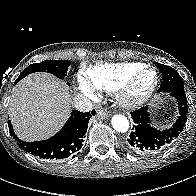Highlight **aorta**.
I'll use <instances>...</instances> for the list:
<instances>
[{"label": "aorta", "instance_id": "obj_1", "mask_svg": "<svg viewBox=\"0 0 196 196\" xmlns=\"http://www.w3.org/2000/svg\"><path fill=\"white\" fill-rule=\"evenodd\" d=\"M111 123L117 132L125 133L129 129V121L123 115H114L111 119Z\"/></svg>", "mask_w": 196, "mask_h": 196}]
</instances>
